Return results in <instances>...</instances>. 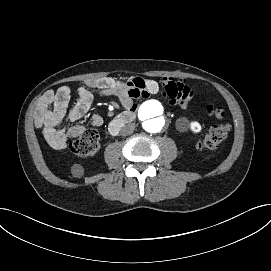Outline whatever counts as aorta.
<instances>
[{
    "mask_svg": "<svg viewBox=\"0 0 271 271\" xmlns=\"http://www.w3.org/2000/svg\"><path fill=\"white\" fill-rule=\"evenodd\" d=\"M139 121L149 133H158L166 126L168 113L166 108L157 100H147L137 111Z\"/></svg>",
    "mask_w": 271,
    "mask_h": 271,
    "instance_id": "aorta-1",
    "label": "aorta"
}]
</instances>
